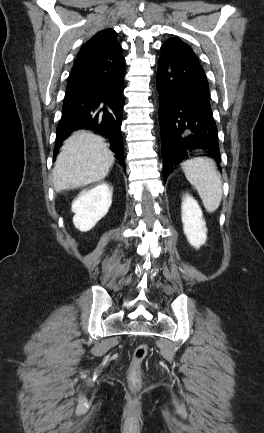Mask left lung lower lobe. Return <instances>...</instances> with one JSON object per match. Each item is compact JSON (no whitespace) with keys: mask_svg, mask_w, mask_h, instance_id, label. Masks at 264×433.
<instances>
[{"mask_svg":"<svg viewBox=\"0 0 264 433\" xmlns=\"http://www.w3.org/2000/svg\"><path fill=\"white\" fill-rule=\"evenodd\" d=\"M156 80L160 93L164 181L188 151L203 149L218 161V130L210 106L208 81L199 62L162 53Z\"/></svg>","mask_w":264,"mask_h":433,"instance_id":"obj_1","label":"left lung lower lobe"}]
</instances>
